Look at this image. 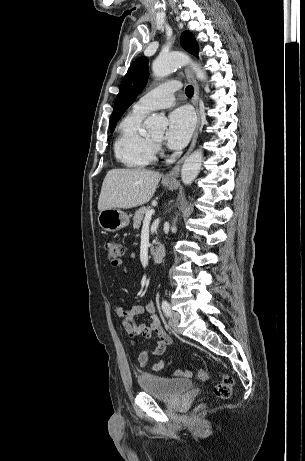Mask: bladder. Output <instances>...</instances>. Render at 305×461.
I'll return each instance as SVG.
<instances>
[{
	"label": "bladder",
	"mask_w": 305,
	"mask_h": 461,
	"mask_svg": "<svg viewBox=\"0 0 305 461\" xmlns=\"http://www.w3.org/2000/svg\"><path fill=\"white\" fill-rule=\"evenodd\" d=\"M137 383L142 392L168 401L178 399L193 387L189 379L169 378L156 374L139 375Z\"/></svg>",
	"instance_id": "obj_1"
}]
</instances>
